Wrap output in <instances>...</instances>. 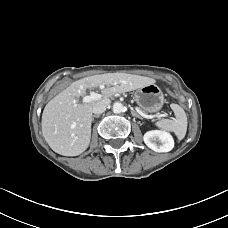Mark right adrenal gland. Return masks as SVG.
Masks as SVG:
<instances>
[{
    "mask_svg": "<svg viewBox=\"0 0 228 228\" xmlns=\"http://www.w3.org/2000/svg\"><path fill=\"white\" fill-rule=\"evenodd\" d=\"M100 115L98 114V115H93V117H92V121L94 120V118H98Z\"/></svg>",
    "mask_w": 228,
    "mask_h": 228,
    "instance_id": "right-adrenal-gland-1",
    "label": "right adrenal gland"
}]
</instances>
